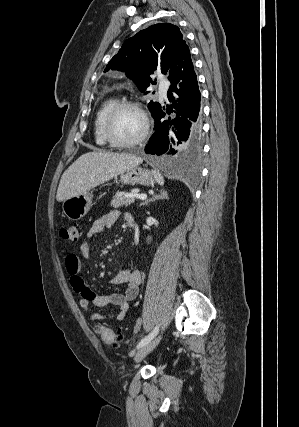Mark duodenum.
I'll return each instance as SVG.
<instances>
[{
    "mask_svg": "<svg viewBox=\"0 0 299 427\" xmlns=\"http://www.w3.org/2000/svg\"><path fill=\"white\" fill-rule=\"evenodd\" d=\"M127 224L129 225V227L135 228L136 221L132 215L127 218Z\"/></svg>",
    "mask_w": 299,
    "mask_h": 427,
    "instance_id": "410a0bca",
    "label": "duodenum"
}]
</instances>
